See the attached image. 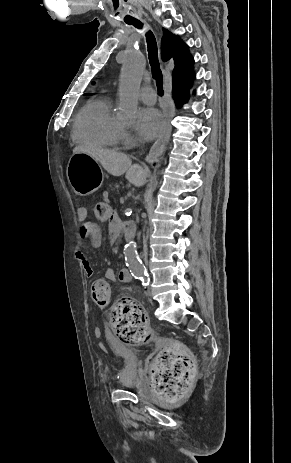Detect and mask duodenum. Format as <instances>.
I'll return each instance as SVG.
<instances>
[{
  "label": "duodenum",
  "instance_id": "obj_1",
  "mask_svg": "<svg viewBox=\"0 0 291 463\" xmlns=\"http://www.w3.org/2000/svg\"><path fill=\"white\" fill-rule=\"evenodd\" d=\"M118 227L120 228V231L122 230L125 233L127 239L129 240L132 239L136 233V229H135V225L133 221H122V222L119 221ZM124 270L129 276H131L129 269L124 268Z\"/></svg>",
  "mask_w": 291,
  "mask_h": 463
}]
</instances>
